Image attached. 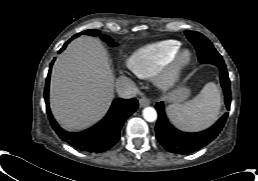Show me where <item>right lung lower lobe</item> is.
Masks as SVG:
<instances>
[{"label": "right lung lower lobe", "mask_w": 258, "mask_h": 181, "mask_svg": "<svg viewBox=\"0 0 258 181\" xmlns=\"http://www.w3.org/2000/svg\"><path fill=\"white\" fill-rule=\"evenodd\" d=\"M71 40L72 39L68 40L63 45L59 53L66 48L67 44ZM53 63L54 60L50 64V70L46 79L44 92L47 113L52 127L63 141L67 142L80 151L101 153L110 149L118 142L120 137V130L126 119L138 108V101L135 98H117L113 101L107 115L94 127L79 133L66 132L56 123L49 108L48 91L50 83V72Z\"/></svg>", "instance_id": "1"}]
</instances>
